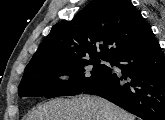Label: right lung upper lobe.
<instances>
[{"label":"right lung upper lobe","mask_w":165,"mask_h":120,"mask_svg":"<svg viewBox=\"0 0 165 120\" xmlns=\"http://www.w3.org/2000/svg\"><path fill=\"white\" fill-rule=\"evenodd\" d=\"M152 34L130 0H93L72 20L55 24L28 65L83 58L112 61Z\"/></svg>","instance_id":"cb5924a9"}]
</instances>
